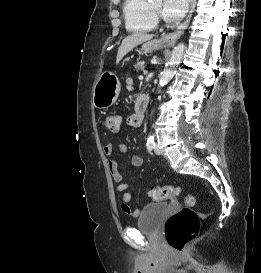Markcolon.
<instances>
[{
	"instance_id": "5ec220e1",
	"label": "colon",
	"mask_w": 261,
	"mask_h": 273,
	"mask_svg": "<svg viewBox=\"0 0 261 273\" xmlns=\"http://www.w3.org/2000/svg\"><path fill=\"white\" fill-rule=\"evenodd\" d=\"M121 117L109 115L105 118V126L111 131L120 128ZM181 193V188L175 185H166L150 192L154 201L171 199ZM194 195L187 194L184 197L186 207L174 213L167 221L165 227V238L168 245L176 252H182L185 247L197 236L201 215L191 209L195 205Z\"/></svg>"
}]
</instances>
